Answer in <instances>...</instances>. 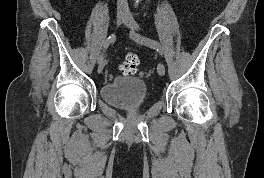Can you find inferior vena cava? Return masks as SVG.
<instances>
[{
  "label": "inferior vena cava",
  "mask_w": 264,
  "mask_h": 178,
  "mask_svg": "<svg viewBox=\"0 0 264 178\" xmlns=\"http://www.w3.org/2000/svg\"><path fill=\"white\" fill-rule=\"evenodd\" d=\"M117 10L120 13H129L127 0H117Z\"/></svg>",
  "instance_id": "inferior-vena-cava-1"
}]
</instances>
